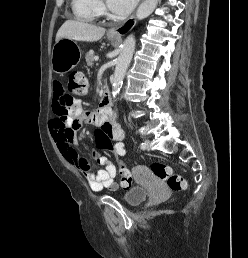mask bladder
Here are the masks:
<instances>
[{
    "label": "bladder",
    "mask_w": 248,
    "mask_h": 258,
    "mask_svg": "<svg viewBox=\"0 0 248 258\" xmlns=\"http://www.w3.org/2000/svg\"><path fill=\"white\" fill-rule=\"evenodd\" d=\"M148 196V191L142 187H132L123 195V200L130 206H137Z\"/></svg>",
    "instance_id": "31cf9c89"
}]
</instances>
